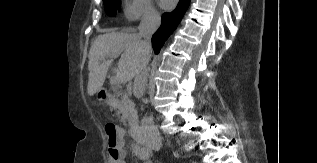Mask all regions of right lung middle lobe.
I'll return each instance as SVG.
<instances>
[{"label": "right lung middle lobe", "mask_w": 317, "mask_h": 163, "mask_svg": "<svg viewBox=\"0 0 317 163\" xmlns=\"http://www.w3.org/2000/svg\"><path fill=\"white\" fill-rule=\"evenodd\" d=\"M106 7L105 11L109 16H114L120 8V0H103Z\"/></svg>", "instance_id": "1"}]
</instances>
